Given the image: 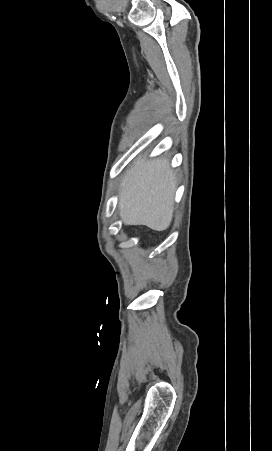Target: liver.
<instances>
[{
    "mask_svg": "<svg viewBox=\"0 0 272 451\" xmlns=\"http://www.w3.org/2000/svg\"><path fill=\"white\" fill-rule=\"evenodd\" d=\"M176 178L168 160L145 162L138 158L125 174L118 204L125 226H148L163 231L173 216Z\"/></svg>",
    "mask_w": 272,
    "mask_h": 451,
    "instance_id": "1",
    "label": "liver"
}]
</instances>
